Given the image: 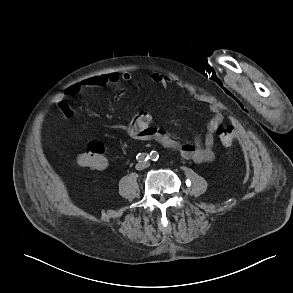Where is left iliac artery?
<instances>
[{
    "mask_svg": "<svg viewBox=\"0 0 293 293\" xmlns=\"http://www.w3.org/2000/svg\"><path fill=\"white\" fill-rule=\"evenodd\" d=\"M151 160L153 161H157L158 158H159V154L157 151H151L150 153V157H149Z\"/></svg>",
    "mask_w": 293,
    "mask_h": 293,
    "instance_id": "1",
    "label": "left iliac artery"
}]
</instances>
